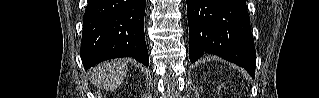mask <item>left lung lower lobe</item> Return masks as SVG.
Returning a JSON list of instances; mask_svg holds the SVG:
<instances>
[{
	"label": "left lung lower lobe",
	"instance_id": "obj_1",
	"mask_svg": "<svg viewBox=\"0 0 319 98\" xmlns=\"http://www.w3.org/2000/svg\"><path fill=\"white\" fill-rule=\"evenodd\" d=\"M187 12L192 63L212 53L254 78L256 54L245 0H187Z\"/></svg>",
	"mask_w": 319,
	"mask_h": 98
}]
</instances>
